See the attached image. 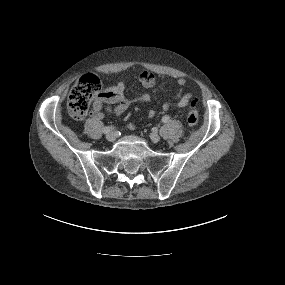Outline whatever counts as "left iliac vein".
<instances>
[{
    "label": "left iliac vein",
    "instance_id": "1",
    "mask_svg": "<svg viewBox=\"0 0 285 285\" xmlns=\"http://www.w3.org/2000/svg\"><path fill=\"white\" fill-rule=\"evenodd\" d=\"M150 139H151L152 142L158 143L161 138H160V136H159L158 134H156V133H151V134H150Z\"/></svg>",
    "mask_w": 285,
    "mask_h": 285
}]
</instances>
